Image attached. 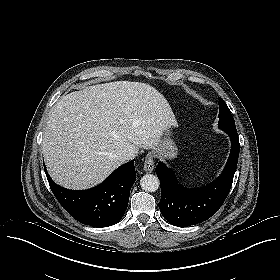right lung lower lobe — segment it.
<instances>
[{"label": "right lung lower lobe", "mask_w": 280, "mask_h": 280, "mask_svg": "<svg viewBox=\"0 0 280 280\" xmlns=\"http://www.w3.org/2000/svg\"><path fill=\"white\" fill-rule=\"evenodd\" d=\"M45 173L62 207L79 222L95 227L114 225L123 217L136 180L134 160L118 167L98 186L83 191L63 188L50 178L46 169Z\"/></svg>", "instance_id": "right-lung-lower-lobe-1"}]
</instances>
